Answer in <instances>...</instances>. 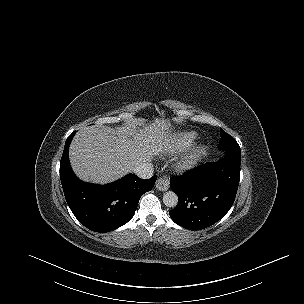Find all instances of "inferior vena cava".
<instances>
[{
	"label": "inferior vena cava",
	"mask_w": 304,
	"mask_h": 304,
	"mask_svg": "<svg viewBox=\"0 0 304 304\" xmlns=\"http://www.w3.org/2000/svg\"><path fill=\"white\" fill-rule=\"evenodd\" d=\"M133 173L142 179H149L153 175V166L149 162H143L133 168Z\"/></svg>",
	"instance_id": "obj_1"
}]
</instances>
